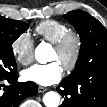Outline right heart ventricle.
Masks as SVG:
<instances>
[{
	"instance_id": "obj_1",
	"label": "right heart ventricle",
	"mask_w": 107,
	"mask_h": 107,
	"mask_svg": "<svg viewBox=\"0 0 107 107\" xmlns=\"http://www.w3.org/2000/svg\"><path fill=\"white\" fill-rule=\"evenodd\" d=\"M35 31L42 39L54 44L66 32L70 31V27L63 22L49 19L41 21Z\"/></svg>"
}]
</instances>
